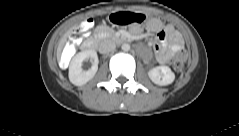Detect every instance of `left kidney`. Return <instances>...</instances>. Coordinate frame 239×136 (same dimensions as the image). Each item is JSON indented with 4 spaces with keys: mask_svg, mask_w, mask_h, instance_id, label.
Returning <instances> with one entry per match:
<instances>
[{
    "mask_svg": "<svg viewBox=\"0 0 239 136\" xmlns=\"http://www.w3.org/2000/svg\"><path fill=\"white\" fill-rule=\"evenodd\" d=\"M151 81L157 85L165 86L175 80V74L168 66H157L148 72Z\"/></svg>",
    "mask_w": 239,
    "mask_h": 136,
    "instance_id": "left-kidney-1",
    "label": "left kidney"
}]
</instances>
